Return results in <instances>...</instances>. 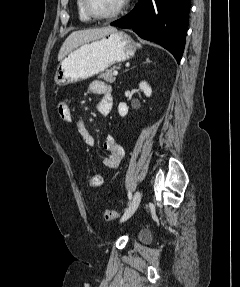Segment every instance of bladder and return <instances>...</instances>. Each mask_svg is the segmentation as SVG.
Wrapping results in <instances>:
<instances>
[{
  "label": "bladder",
  "mask_w": 240,
  "mask_h": 287,
  "mask_svg": "<svg viewBox=\"0 0 240 287\" xmlns=\"http://www.w3.org/2000/svg\"><path fill=\"white\" fill-rule=\"evenodd\" d=\"M141 238L147 240V234L145 232L141 233Z\"/></svg>",
  "instance_id": "31cf9c89"
}]
</instances>
